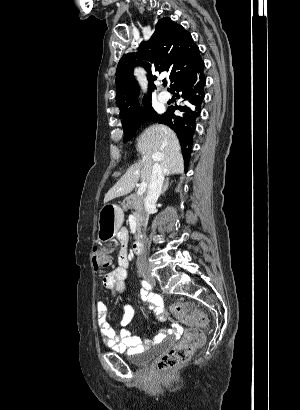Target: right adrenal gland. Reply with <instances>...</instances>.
I'll use <instances>...</instances> for the list:
<instances>
[{"instance_id": "2a0ac1e0", "label": "right adrenal gland", "mask_w": 300, "mask_h": 410, "mask_svg": "<svg viewBox=\"0 0 300 410\" xmlns=\"http://www.w3.org/2000/svg\"><path fill=\"white\" fill-rule=\"evenodd\" d=\"M168 187H169V178L167 177V178L165 179V182H164L163 187H162V191H161V194H162V195L166 192V190L168 189Z\"/></svg>"}]
</instances>
